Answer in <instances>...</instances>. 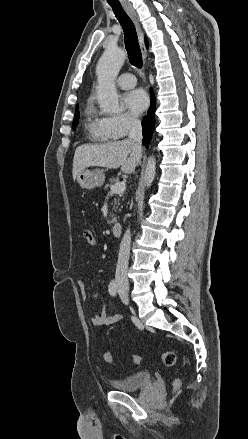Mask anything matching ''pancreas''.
I'll return each instance as SVG.
<instances>
[{
    "label": "pancreas",
    "mask_w": 248,
    "mask_h": 439,
    "mask_svg": "<svg viewBox=\"0 0 248 439\" xmlns=\"http://www.w3.org/2000/svg\"><path fill=\"white\" fill-rule=\"evenodd\" d=\"M119 181L118 177H113L109 179V184L105 185V189H107L108 187H111L113 185V183H117ZM117 204H119V201H117L116 199L114 200V206L113 209L117 208ZM111 217L113 218L109 223L110 224H114L116 222V218L114 214H111Z\"/></svg>",
    "instance_id": "pancreas-1"
}]
</instances>
